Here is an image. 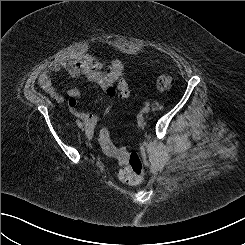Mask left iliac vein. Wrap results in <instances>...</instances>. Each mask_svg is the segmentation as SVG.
<instances>
[{"label": "left iliac vein", "instance_id": "4c4485c4", "mask_svg": "<svg viewBox=\"0 0 245 245\" xmlns=\"http://www.w3.org/2000/svg\"><path fill=\"white\" fill-rule=\"evenodd\" d=\"M142 112H143V113H149V112H150V107H149V106H145V107L142 109Z\"/></svg>", "mask_w": 245, "mask_h": 245}]
</instances>
